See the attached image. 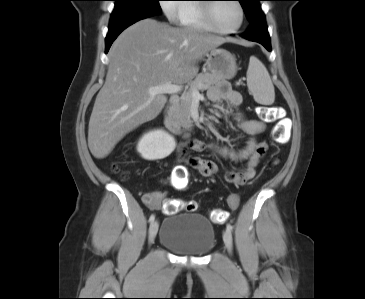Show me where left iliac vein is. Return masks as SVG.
Here are the masks:
<instances>
[{
	"instance_id": "4c4485c4",
	"label": "left iliac vein",
	"mask_w": 365,
	"mask_h": 299,
	"mask_svg": "<svg viewBox=\"0 0 365 299\" xmlns=\"http://www.w3.org/2000/svg\"><path fill=\"white\" fill-rule=\"evenodd\" d=\"M223 240H224V243H225L228 251L231 252V250H232V234L228 229L225 230L224 233H223Z\"/></svg>"
}]
</instances>
